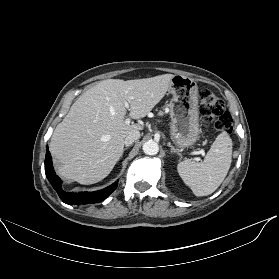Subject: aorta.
Returning <instances> with one entry per match:
<instances>
[{"label":"aorta","instance_id":"762f6f07","mask_svg":"<svg viewBox=\"0 0 279 279\" xmlns=\"http://www.w3.org/2000/svg\"><path fill=\"white\" fill-rule=\"evenodd\" d=\"M142 147L143 152L147 155H156L159 152V145L153 140L145 142Z\"/></svg>","mask_w":279,"mask_h":279}]
</instances>
